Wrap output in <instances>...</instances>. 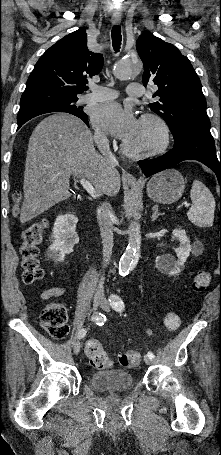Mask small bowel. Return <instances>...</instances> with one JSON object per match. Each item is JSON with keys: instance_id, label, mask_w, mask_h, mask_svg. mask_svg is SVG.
<instances>
[{"instance_id": "small-bowel-1", "label": "small bowel", "mask_w": 221, "mask_h": 455, "mask_svg": "<svg viewBox=\"0 0 221 455\" xmlns=\"http://www.w3.org/2000/svg\"><path fill=\"white\" fill-rule=\"evenodd\" d=\"M68 291L67 286L51 287L41 292V300H48L50 298L61 297Z\"/></svg>"}]
</instances>
